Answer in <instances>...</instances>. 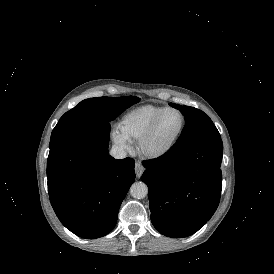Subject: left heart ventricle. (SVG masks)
Listing matches in <instances>:
<instances>
[{
  "label": "left heart ventricle",
  "mask_w": 274,
  "mask_h": 274,
  "mask_svg": "<svg viewBox=\"0 0 274 274\" xmlns=\"http://www.w3.org/2000/svg\"><path fill=\"white\" fill-rule=\"evenodd\" d=\"M182 125V116L170 111L161 119L154 133L147 139L145 148L152 153L164 150L177 135Z\"/></svg>",
  "instance_id": "obj_1"
}]
</instances>
